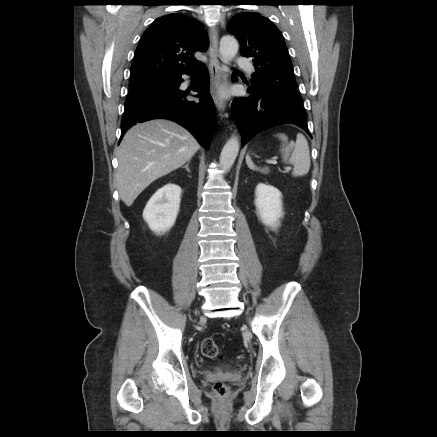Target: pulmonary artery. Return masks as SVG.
<instances>
[{
  "mask_svg": "<svg viewBox=\"0 0 437 437\" xmlns=\"http://www.w3.org/2000/svg\"><path fill=\"white\" fill-rule=\"evenodd\" d=\"M236 65L240 68L246 69L249 73H252L254 71V67L251 64V62L243 57H240L236 61Z\"/></svg>",
  "mask_w": 437,
  "mask_h": 437,
  "instance_id": "pulmonary-artery-1",
  "label": "pulmonary artery"
}]
</instances>
